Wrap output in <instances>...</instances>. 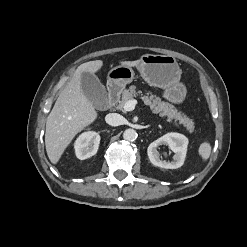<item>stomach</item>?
I'll use <instances>...</instances> for the list:
<instances>
[{
    "instance_id": "1",
    "label": "stomach",
    "mask_w": 247,
    "mask_h": 247,
    "mask_svg": "<svg viewBox=\"0 0 247 247\" xmlns=\"http://www.w3.org/2000/svg\"><path fill=\"white\" fill-rule=\"evenodd\" d=\"M142 78L150 85L164 90L163 97L180 104L187 94L186 87L180 82L182 71L173 56L145 54L136 66ZM134 78L132 67L119 65L108 73L107 84L111 88L123 89Z\"/></svg>"
}]
</instances>
